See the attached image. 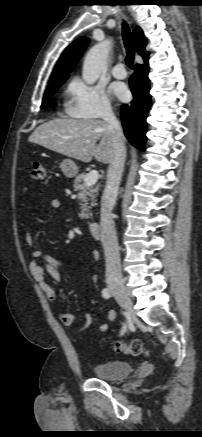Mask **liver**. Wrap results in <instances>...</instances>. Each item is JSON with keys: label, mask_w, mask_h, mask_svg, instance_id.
Instances as JSON below:
<instances>
[{"label": "liver", "mask_w": 202, "mask_h": 437, "mask_svg": "<svg viewBox=\"0 0 202 437\" xmlns=\"http://www.w3.org/2000/svg\"><path fill=\"white\" fill-rule=\"evenodd\" d=\"M28 140L85 163L94 157L108 164L114 154L111 129L97 119H53L38 126Z\"/></svg>", "instance_id": "6515ba94"}]
</instances>
